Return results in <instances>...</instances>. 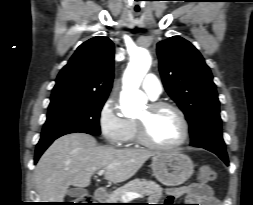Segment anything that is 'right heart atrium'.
Returning a JSON list of instances; mask_svg holds the SVG:
<instances>
[{"label":"right heart atrium","instance_id":"right-heart-atrium-1","mask_svg":"<svg viewBox=\"0 0 253 205\" xmlns=\"http://www.w3.org/2000/svg\"><path fill=\"white\" fill-rule=\"evenodd\" d=\"M98 125L109 144L120 146L126 141L130 122L120 114L113 98L106 99L102 104L98 114Z\"/></svg>","mask_w":253,"mask_h":205}]
</instances>
